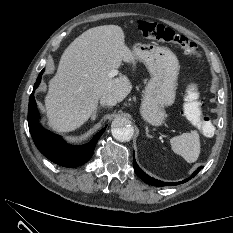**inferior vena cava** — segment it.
<instances>
[{
    "instance_id": "inferior-vena-cava-1",
    "label": "inferior vena cava",
    "mask_w": 233,
    "mask_h": 233,
    "mask_svg": "<svg viewBox=\"0 0 233 233\" xmlns=\"http://www.w3.org/2000/svg\"><path fill=\"white\" fill-rule=\"evenodd\" d=\"M102 106H114L117 104V98L110 93L104 94L100 99Z\"/></svg>"
}]
</instances>
